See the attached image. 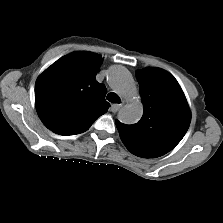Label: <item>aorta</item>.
I'll return each mask as SVG.
<instances>
[{"label": "aorta", "mask_w": 223, "mask_h": 223, "mask_svg": "<svg viewBox=\"0 0 223 223\" xmlns=\"http://www.w3.org/2000/svg\"><path fill=\"white\" fill-rule=\"evenodd\" d=\"M109 85L122 97L131 100L137 94V88L131 73L123 66L114 65L107 76ZM143 115V105L138 100L127 103L119 112L118 118L125 124L137 123Z\"/></svg>", "instance_id": "762f6f07"}]
</instances>
